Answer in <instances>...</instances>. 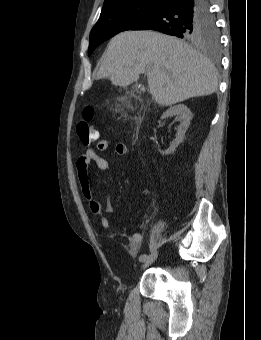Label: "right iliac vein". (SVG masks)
<instances>
[{
    "mask_svg": "<svg viewBox=\"0 0 261 340\" xmlns=\"http://www.w3.org/2000/svg\"><path fill=\"white\" fill-rule=\"evenodd\" d=\"M160 251L159 250H154L147 258V260L145 262H143L141 268H146L150 265H152L153 263H155L159 257Z\"/></svg>",
    "mask_w": 261,
    "mask_h": 340,
    "instance_id": "obj_1",
    "label": "right iliac vein"
}]
</instances>
